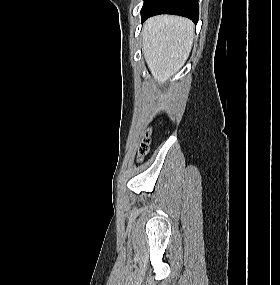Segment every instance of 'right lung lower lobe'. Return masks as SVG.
<instances>
[{
  "label": "right lung lower lobe",
  "instance_id": "right-lung-lower-lobe-1",
  "mask_svg": "<svg viewBox=\"0 0 280 285\" xmlns=\"http://www.w3.org/2000/svg\"><path fill=\"white\" fill-rule=\"evenodd\" d=\"M158 14H175L198 22V0H144L141 10L142 21Z\"/></svg>",
  "mask_w": 280,
  "mask_h": 285
}]
</instances>
